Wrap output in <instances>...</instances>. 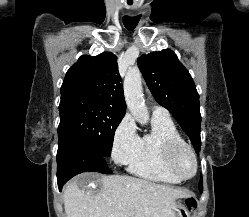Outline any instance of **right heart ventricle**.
I'll use <instances>...</instances> for the list:
<instances>
[{
    "label": "right heart ventricle",
    "instance_id": "obj_1",
    "mask_svg": "<svg viewBox=\"0 0 249 217\" xmlns=\"http://www.w3.org/2000/svg\"><path fill=\"white\" fill-rule=\"evenodd\" d=\"M173 141L183 139L171 118L152 116V130L139 138L137 150L129 163V171L150 181L180 183L182 179L175 176L166 163L167 145Z\"/></svg>",
    "mask_w": 249,
    "mask_h": 217
}]
</instances>
